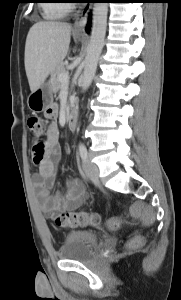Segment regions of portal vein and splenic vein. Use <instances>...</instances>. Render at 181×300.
Here are the masks:
<instances>
[{
    "label": "portal vein and splenic vein",
    "instance_id": "1",
    "mask_svg": "<svg viewBox=\"0 0 181 300\" xmlns=\"http://www.w3.org/2000/svg\"><path fill=\"white\" fill-rule=\"evenodd\" d=\"M59 80L62 82L63 85L69 84V73H63L59 76Z\"/></svg>",
    "mask_w": 181,
    "mask_h": 300
}]
</instances>
